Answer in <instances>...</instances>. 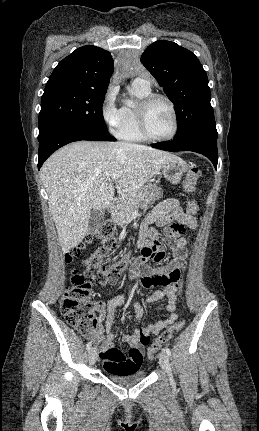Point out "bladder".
I'll return each instance as SVG.
<instances>
[{
	"mask_svg": "<svg viewBox=\"0 0 259 431\" xmlns=\"http://www.w3.org/2000/svg\"><path fill=\"white\" fill-rule=\"evenodd\" d=\"M106 376L119 385H130L142 381L147 374L144 371H110L106 370Z\"/></svg>",
	"mask_w": 259,
	"mask_h": 431,
	"instance_id": "obj_1",
	"label": "bladder"
}]
</instances>
